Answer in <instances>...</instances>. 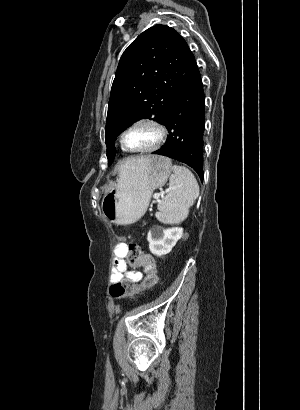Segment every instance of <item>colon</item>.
Wrapping results in <instances>:
<instances>
[{
	"label": "colon",
	"mask_w": 300,
	"mask_h": 410,
	"mask_svg": "<svg viewBox=\"0 0 300 410\" xmlns=\"http://www.w3.org/2000/svg\"><path fill=\"white\" fill-rule=\"evenodd\" d=\"M128 262L142 266L146 276L140 284H134L128 279H120L110 287V295L113 298L121 299L133 295L142 290L153 288L158 282L155 259L149 253L141 249L138 244L131 243L126 246Z\"/></svg>",
	"instance_id": "5ec220e1"
}]
</instances>
